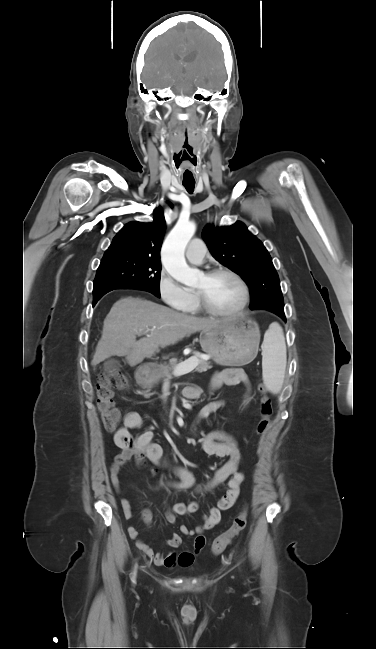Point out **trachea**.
Here are the masks:
<instances>
[{"mask_svg": "<svg viewBox=\"0 0 376 649\" xmlns=\"http://www.w3.org/2000/svg\"><path fill=\"white\" fill-rule=\"evenodd\" d=\"M183 186L189 193H192L194 191L195 183H183Z\"/></svg>", "mask_w": 376, "mask_h": 649, "instance_id": "obj_1", "label": "trachea"}]
</instances>
